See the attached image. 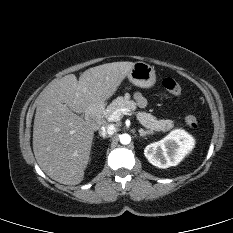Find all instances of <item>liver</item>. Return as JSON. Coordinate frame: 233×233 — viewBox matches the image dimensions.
I'll list each match as a JSON object with an SVG mask.
<instances>
[{"label":"liver","mask_w":233,"mask_h":233,"mask_svg":"<svg viewBox=\"0 0 233 233\" xmlns=\"http://www.w3.org/2000/svg\"><path fill=\"white\" fill-rule=\"evenodd\" d=\"M133 62H113L69 74L49 84L38 96L33 151L40 168L53 180L77 185L84 178L94 137L93 127L79 116L99 107L130 73Z\"/></svg>","instance_id":"1"}]
</instances>
